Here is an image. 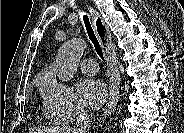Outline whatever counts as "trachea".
Masks as SVG:
<instances>
[{
	"instance_id": "obj_1",
	"label": "trachea",
	"mask_w": 184,
	"mask_h": 133,
	"mask_svg": "<svg viewBox=\"0 0 184 133\" xmlns=\"http://www.w3.org/2000/svg\"><path fill=\"white\" fill-rule=\"evenodd\" d=\"M83 21H84L89 39L91 40V42L93 43V45L95 47V51L97 52L98 56L102 60H104L102 45H101L100 41L98 40V38H97V36H96L92 26H91L89 18L86 15L83 16Z\"/></svg>"
}]
</instances>
